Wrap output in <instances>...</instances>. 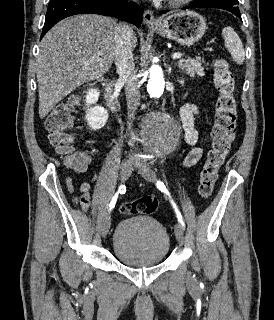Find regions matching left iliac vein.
I'll use <instances>...</instances> for the list:
<instances>
[{"instance_id": "4c4485c4", "label": "left iliac vein", "mask_w": 274, "mask_h": 320, "mask_svg": "<svg viewBox=\"0 0 274 320\" xmlns=\"http://www.w3.org/2000/svg\"><path fill=\"white\" fill-rule=\"evenodd\" d=\"M139 173L147 181L155 182L157 180L156 173L149 168H141L139 170ZM174 232H175V236H176V239L179 242V244L183 245V243H184V230H183V227L180 223L175 224Z\"/></svg>"}]
</instances>
